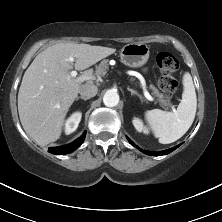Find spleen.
<instances>
[{
  "mask_svg": "<svg viewBox=\"0 0 222 222\" xmlns=\"http://www.w3.org/2000/svg\"><path fill=\"white\" fill-rule=\"evenodd\" d=\"M182 81V100L176 111L153 109L145 112V120L162 144L173 143L180 139L191 127L195 118L197 98L189 72L184 73Z\"/></svg>",
  "mask_w": 222,
  "mask_h": 222,
  "instance_id": "1",
  "label": "spleen"
}]
</instances>
